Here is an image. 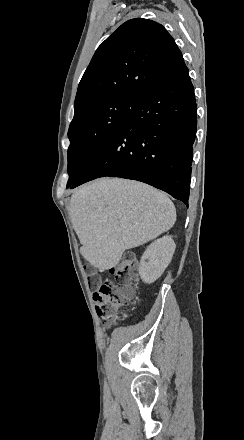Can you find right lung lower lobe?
Returning a JSON list of instances; mask_svg holds the SVG:
<instances>
[{
  "label": "right lung lower lobe",
  "instance_id": "right-lung-lower-lobe-1",
  "mask_svg": "<svg viewBox=\"0 0 244 440\" xmlns=\"http://www.w3.org/2000/svg\"><path fill=\"white\" fill-rule=\"evenodd\" d=\"M196 126L194 88L184 63L140 98L71 188L121 177L152 185L188 206Z\"/></svg>",
  "mask_w": 244,
  "mask_h": 440
}]
</instances>
